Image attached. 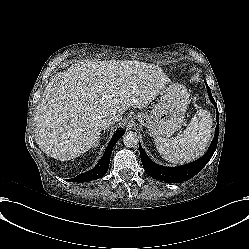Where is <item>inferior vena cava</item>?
I'll list each match as a JSON object with an SVG mask.
<instances>
[{
	"mask_svg": "<svg viewBox=\"0 0 249 249\" xmlns=\"http://www.w3.org/2000/svg\"><path fill=\"white\" fill-rule=\"evenodd\" d=\"M116 121H118V118L115 117V115H110L109 117L105 118L102 121V127H103V129L109 127L111 124L115 123Z\"/></svg>",
	"mask_w": 249,
	"mask_h": 249,
	"instance_id": "inferior-vena-cava-1",
	"label": "inferior vena cava"
}]
</instances>
